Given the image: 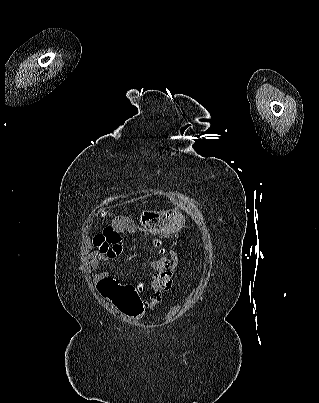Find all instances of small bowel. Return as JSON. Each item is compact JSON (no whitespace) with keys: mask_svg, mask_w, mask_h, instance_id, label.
I'll list each match as a JSON object with an SVG mask.
<instances>
[{"mask_svg":"<svg viewBox=\"0 0 319 403\" xmlns=\"http://www.w3.org/2000/svg\"><path fill=\"white\" fill-rule=\"evenodd\" d=\"M134 229L129 213H118L114 224H104L102 229H95L92 245L96 249L86 255L83 268L87 272H94V284L110 309H119L121 315H130L132 319L139 320L147 310L156 309L161 303L162 297L159 294H164L166 291H161L162 287H167L171 282L177 267V257L169 254L165 258V269L152 276L154 283L149 287L150 293L141 300L139 292L143 282L124 284L123 279L110 276L108 271L100 268L103 262L125 254L124 237Z\"/></svg>","mask_w":319,"mask_h":403,"instance_id":"c3829d8e","label":"small bowel"}]
</instances>
